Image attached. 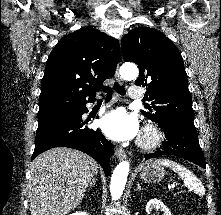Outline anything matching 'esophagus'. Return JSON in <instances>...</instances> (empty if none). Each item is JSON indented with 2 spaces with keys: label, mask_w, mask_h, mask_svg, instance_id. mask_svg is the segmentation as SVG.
I'll list each match as a JSON object with an SVG mask.
<instances>
[{
  "label": "esophagus",
  "mask_w": 221,
  "mask_h": 215,
  "mask_svg": "<svg viewBox=\"0 0 221 215\" xmlns=\"http://www.w3.org/2000/svg\"><path fill=\"white\" fill-rule=\"evenodd\" d=\"M115 77H116L117 81H119L121 84H124L123 79L119 74L118 67L115 72ZM115 155L120 160L125 159L127 157L125 150L121 147L116 150Z\"/></svg>",
  "instance_id": "1"
}]
</instances>
